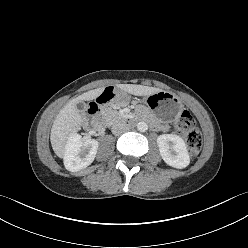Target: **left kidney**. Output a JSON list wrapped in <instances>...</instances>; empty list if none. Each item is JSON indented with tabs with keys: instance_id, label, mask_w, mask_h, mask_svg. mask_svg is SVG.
I'll use <instances>...</instances> for the list:
<instances>
[{
	"instance_id": "5707ae66",
	"label": "left kidney",
	"mask_w": 248,
	"mask_h": 248,
	"mask_svg": "<svg viewBox=\"0 0 248 248\" xmlns=\"http://www.w3.org/2000/svg\"><path fill=\"white\" fill-rule=\"evenodd\" d=\"M162 159L169 166L182 169L189 165L190 157L184 140L175 134H162L157 138Z\"/></svg>"
}]
</instances>
